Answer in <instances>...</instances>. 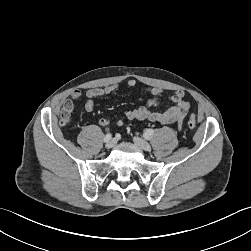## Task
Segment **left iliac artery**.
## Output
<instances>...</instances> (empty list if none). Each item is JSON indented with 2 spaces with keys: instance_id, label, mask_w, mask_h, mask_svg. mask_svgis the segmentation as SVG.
<instances>
[{
  "instance_id": "44dca946",
  "label": "left iliac artery",
  "mask_w": 251,
  "mask_h": 251,
  "mask_svg": "<svg viewBox=\"0 0 251 251\" xmlns=\"http://www.w3.org/2000/svg\"><path fill=\"white\" fill-rule=\"evenodd\" d=\"M153 134H154L153 129H146L145 132H144V137L145 138H150Z\"/></svg>"
}]
</instances>
